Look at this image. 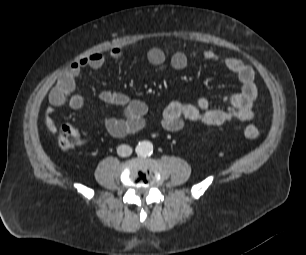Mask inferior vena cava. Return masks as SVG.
<instances>
[{
  "label": "inferior vena cava",
  "mask_w": 306,
  "mask_h": 255,
  "mask_svg": "<svg viewBox=\"0 0 306 255\" xmlns=\"http://www.w3.org/2000/svg\"><path fill=\"white\" fill-rule=\"evenodd\" d=\"M117 154L121 157H128L132 154V148L128 145H120L117 148Z\"/></svg>",
  "instance_id": "602c4592"
}]
</instances>
